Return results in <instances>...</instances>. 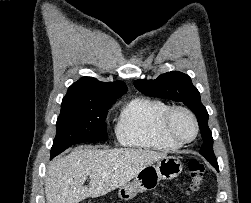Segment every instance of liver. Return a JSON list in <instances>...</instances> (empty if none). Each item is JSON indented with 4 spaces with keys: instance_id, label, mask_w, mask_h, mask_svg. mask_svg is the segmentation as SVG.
<instances>
[{
    "instance_id": "1",
    "label": "liver",
    "mask_w": 251,
    "mask_h": 203,
    "mask_svg": "<svg viewBox=\"0 0 251 203\" xmlns=\"http://www.w3.org/2000/svg\"><path fill=\"white\" fill-rule=\"evenodd\" d=\"M167 156L149 149H96L81 146L54 159L47 168V203H79L121 187L149 166ZM89 177L88 186L84 182Z\"/></svg>"
}]
</instances>
